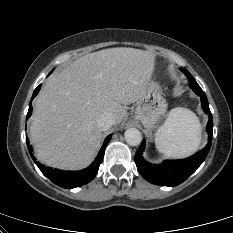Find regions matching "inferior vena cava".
<instances>
[{
    "label": "inferior vena cava",
    "instance_id": "inferior-vena-cava-1",
    "mask_svg": "<svg viewBox=\"0 0 233 233\" xmlns=\"http://www.w3.org/2000/svg\"><path fill=\"white\" fill-rule=\"evenodd\" d=\"M114 124H115V118H114L113 114H111L109 112L101 115L97 121V126L101 131H106Z\"/></svg>",
    "mask_w": 233,
    "mask_h": 233
}]
</instances>
